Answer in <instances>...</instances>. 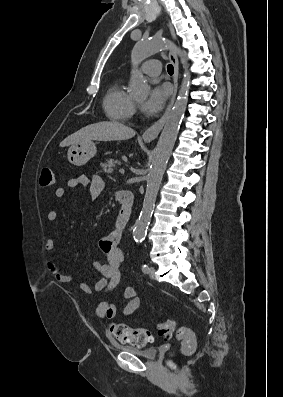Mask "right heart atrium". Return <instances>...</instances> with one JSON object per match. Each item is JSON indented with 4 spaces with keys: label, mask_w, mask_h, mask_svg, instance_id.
<instances>
[{
    "label": "right heart atrium",
    "mask_w": 283,
    "mask_h": 397,
    "mask_svg": "<svg viewBox=\"0 0 283 397\" xmlns=\"http://www.w3.org/2000/svg\"><path fill=\"white\" fill-rule=\"evenodd\" d=\"M135 111H136V109H135L134 105H132V107H131V111H130V114H131V115H132V114H134V113H135Z\"/></svg>",
    "instance_id": "right-heart-atrium-1"
}]
</instances>
